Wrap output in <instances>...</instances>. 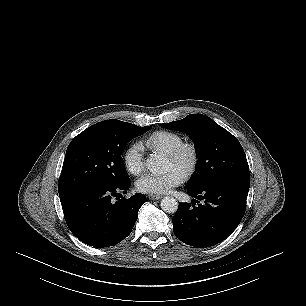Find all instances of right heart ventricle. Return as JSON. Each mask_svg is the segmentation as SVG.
<instances>
[{
    "label": "right heart ventricle",
    "instance_id": "obj_1",
    "mask_svg": "<svg viewBox=\"0 0 306 306\" xmlns=\"http://www.w3.org/2000/svg\"><path fill=\"white\" fill-rule=\"evenodd\" d=\"M183 142L184 139L180 134L172 131L160 130L146 137L142 141L141 145L147 147L150 150L160 151L168 154Z\"/></svg>",
    "mask_w": 306,
    "mask_h": 306
}]
</instances>
